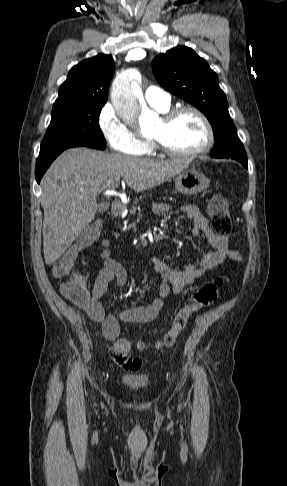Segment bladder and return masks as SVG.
<instances>
[{"instance_id": "31cf9c89", "label": "bladder", "mask_w": 287, "mask_h": 486, "mask_svg": "<svg viewBox=\"0 0 287 486\" xmlns=\"http://www.w3.org/2000/svg\"><path fill=\"white\" fill-rule=\"evenodd\" d=\"M122 383L134 390L145 388L149 384V378L139 375H125L122 378Z\"/></svg>"}]
</instances>
